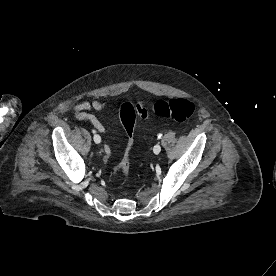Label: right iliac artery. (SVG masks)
<instances>
[{"label":"right iliac artery","mask_w":276,"mask_h":276,"mask_svg":"<svg viewBox=\"0 0 276 276\" xmlns=\"http://www.w3.org/2000/svg\"><path fill=\"white\" fill-rule=\"evenodd\" d=\"M92 133H96V131H95V130H92ZM95 142H96V143H100V142H101V138L99 137L98 139H96Z\"/></svg>","instance_id":"obj_1"}]
</instances>
